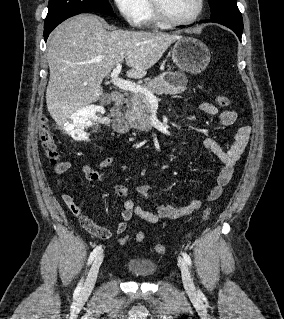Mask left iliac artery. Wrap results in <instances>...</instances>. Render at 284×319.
I'll list each match as a JSON object with an SVG mask.
<instances>
[{
	"instance_id": "obj_1",
	"label": "left iliac artery",
	"mask_w": 284,
	"mask_h": 319,
	"mask_svg": "<svg viewBox=\"0 0 284 319\" xmlns=\"http://www.w3.org/2000/svg\"><path fill=\"white\" fill-rule=\"evenodd\" d=\"M183 258H184V260L186 261V263H187L189 266L192 265L191 258H190V256H189L187 253H183Z\"/></svg>"
}]
</instances>
